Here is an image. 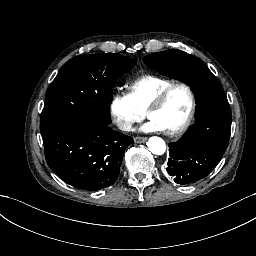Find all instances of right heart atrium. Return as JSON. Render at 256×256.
<instances>
[{"mask_svg": "<svg viewBox=\"0 0 256 256\" xmlns=\"http://www.w3.org/2000/svg\"><path fill=\"white\" fill-rule=\"evenodd\" d=\"M129 98V97H128ZM143 119V113L140 110H136L132 113V115L129 118V121L131 122H140Z\"/></svg>", "mask_w": 256, "mask_h": 256, "instance_id": "obj_1", "label": "right heart atrium"}]
</instances>
